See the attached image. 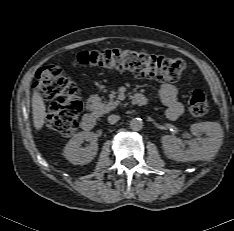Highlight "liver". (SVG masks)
<instances>
[{"label": "liver", "mask_w": 234, "mask_h": 231, "mask_svg": "<svg viewBox=\"0 0 234 231\" xmlns=\"http://www.w3.org/2000/svg\"><path fill=\"white\" fill-rule=\"evenodd\" d=\"M45 103L38 92H34L32 97L33 124L36 130H41L46 118Z\"/></svg>", "instance_id": "obj_1"}]
</instances>
